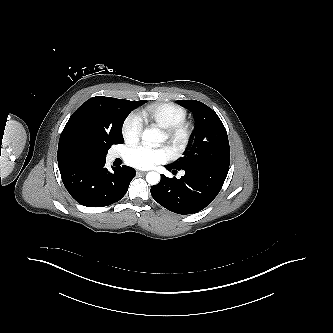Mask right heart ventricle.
Here are the masks:
<instances>
[{
	"label": "right heart ventricle",
	"mask_w": 333,
	"mask_h": 333,
	"mask_svg": "<svg viewBox=\"0 0 333 333\" xmlns=\"http://www.w3.org/2000/svg\"><path fill=\"white\" fill-rule=\"evenodd\" d=\"M186 109L174 102H155L139 112L142 122L164 129L186 119Z\"/></svg>",
	"instance_id": "e07e8e85"
}]
</instances>
